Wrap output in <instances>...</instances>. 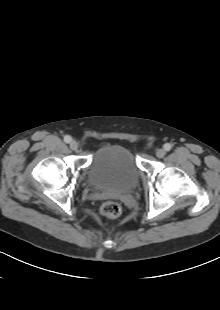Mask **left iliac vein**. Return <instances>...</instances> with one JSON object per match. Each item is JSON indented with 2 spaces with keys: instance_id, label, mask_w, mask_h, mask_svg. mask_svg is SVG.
Segmentation results:
<instances>
[{
  "instance_id": "left-iliac-vein-1",
  "label": "left iliac vein",
  "mask_w": 220,
  "mask_h": 310,
  "mask_svg": "<svg viewBox=\"0 0 220 310\" xmlns=\"http://www.w3.org/2000/svg\"><path fill=\"white\" fill-rule=\"evenodd\" d=\"M165 155H166V151H165L164 149H158V150L156 151V156H157L158 158H163Z\"/></svg>"
}]
</instances>
